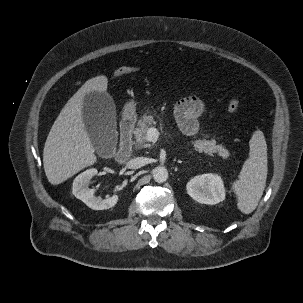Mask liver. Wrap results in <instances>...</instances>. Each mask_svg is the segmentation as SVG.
I'll return each mask as SVG.
<instances>
[{"instance_id": "6515ba94", "label": "liver", "mask_w": 303, "mask_h": 303, "mask_svg": "<svg viewBox=\"0 0 303 303\" xmlns=\"http://www.w3.org/2000/svg\"><path fill=\"white\" fill-rule=\"evenodd\" d=\"M107 85L104 75L86 81L55 120L43 151L45 174L52 185L66 181L96 162L95 149L82 117L83 101L90 92H106Z\"/></svg>"}]
</instances>
